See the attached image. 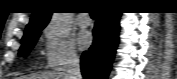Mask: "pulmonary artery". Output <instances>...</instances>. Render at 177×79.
<instances>
[{
	"mask_svg": "<svg viewBox=\"0 0 177 79\" xmlns=\"http://www.w3.org/2000/svg\"><path fill=\"white\" fill-rule=\"evenodd\" d=\"M77 22L80 26H88L90 24V20L87 14H80L78 16Z\"/></svg>",
	"mask_w": 177,
	"mask_h": 79,
	"instance_id": "pulmonary-artery-1",
	"label": "pulmonary artery"
}]
</instances>
